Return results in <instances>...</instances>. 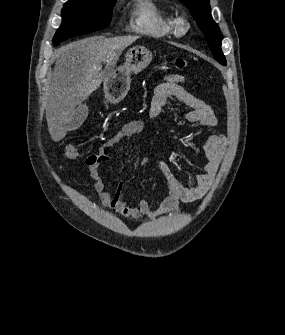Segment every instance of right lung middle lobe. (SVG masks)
Masks as SVG:
<instances>
[{"mask_svg":"<svg viewBox=\"0 0 285 335\" xmlns=\"http://www.w3.org/2000/svg\"><path fill=\"white\" fill-rule=\"evenodd\" d=\"M115 2L104 0H69L62 9V24L56 31L53 43L76 35L105 28L111 21Z\"/></svg>","mask_w":285,"mask_h":335,"instance_id":"right-lung-middle-lobe-1","label":"right lung middle lobe"}]
</instances>
